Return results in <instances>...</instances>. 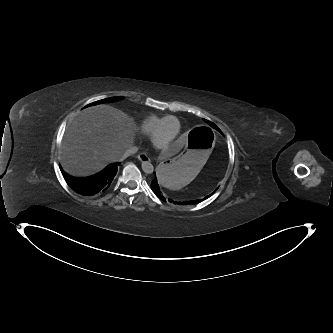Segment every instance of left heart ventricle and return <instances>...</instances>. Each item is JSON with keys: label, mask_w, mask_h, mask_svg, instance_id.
I'll list each match as a JSON object with an SVG mask.
<instances>
[{"label": "left heart ventricle", "mask_w": 333, "mask_h": 333, "mask_svg": "<svg viewBox=\"0 0 333 333\" xmlns=\"http://www.w3.org/2000/svg\"><path fill=\"white\" fill-rule=\"evenodd\" d=\"M178 129L177 121L175 119H170L164 125L162 133L160 135V141L166 142L174 137Z\"/></svg>", "instance_id": "left-heart-ventricle-1"}]
</instances>
